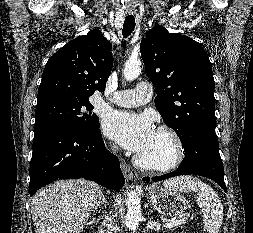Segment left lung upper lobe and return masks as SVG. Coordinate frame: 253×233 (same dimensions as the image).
Returning a JSON list of instances; mask_svg holds the SVG:
<instances>
[{
	"instance_id": "1",
	"label": "left lung upper lobe",
	"mask_w": 253,
	"mask_h": 233,
	"mask_svg": "<svg viewBox=\"0 0 253 233\" xmlns=\"http://www.w3.org/2000/svg\"><path fill=\"white\" fill-rule=\"evenodd\" d=\"M140 51L156 87L155 106L181 142L198 128L215 129V83L202 45L158 25L146 33Z\"/></svg>"
}]
</instances>
